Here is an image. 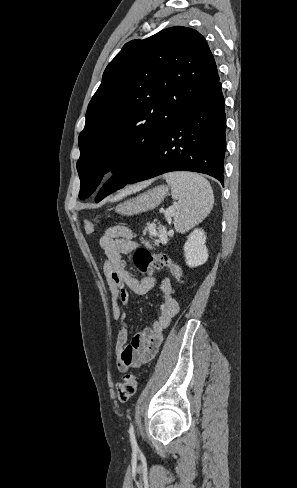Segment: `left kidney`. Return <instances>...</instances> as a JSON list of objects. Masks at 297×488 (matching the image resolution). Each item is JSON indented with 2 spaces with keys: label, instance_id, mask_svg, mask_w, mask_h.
<instances>
[{
  "label": "left kidney",
  "instance_id": "left-kidney-1",
  "mask_svg": "<svg viewBox=\"0 0 297 488\" xmlns=\"http://www.w3.org/2000/svg\"><path fill=\"white\" fill-rule=\"evenodd\" d=\"M206 235L201 228H195L184 244L186 264L193 268L204 264L208 259V250L205 245Z\"/></svg>",
  "mask_w": 297,
  "mask_h": 488
}]
</instances>
